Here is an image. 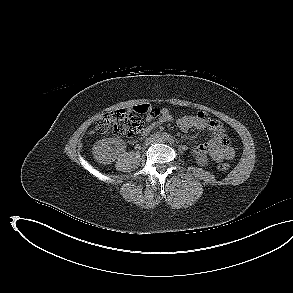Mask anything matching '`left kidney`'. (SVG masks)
Segmentation results:
<instances>
[{"mask_svg":"<svg viewBox=\"0 0 293 293\" xmlns=\"http://www.w3.org/2000/svg\"><path fill=\"white\" fill-rule=\"evenodd\" d=\"M197 163L201 166H205L208 164V158L205 155H200L196 158Z\"/></svg>","mask_w":293,"mask_h":293,"instance_id":"left-kidney-1","label":"left kidney"}]
</instances>
